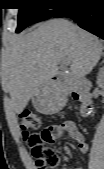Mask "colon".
Returning a JSON list of instances; mask_svg holds the SVG:
<instances>
[{
	"mask_svg": "<svg viewBox=\"0 0 104 169\" xmlns=\"http://www.w3.org/2000/svg\"><path fill=\"white\" fill-rule=\"evenodd\" d=\"M74 97L78 95L74 93ZM23 137L32 155L35 159L36 169H57L59 165V156L46 144L63 134L61 125H51L42 132H38L41 126V118L34 111H26L20 115L19 120Z\"/></svg>",
	"mask_w": 104,
	"mask_h": 169,
	"instance_id": "colon-1",
	"label": "colon"
}]
</instances>
